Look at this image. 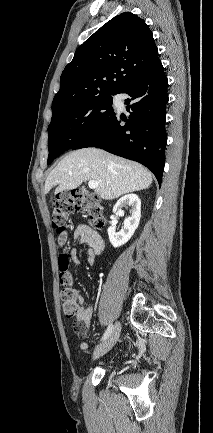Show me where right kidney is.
<instances>
[{
	"label": "right kidney",
	"instance_id": "1",
	"mask_svg": "<svg viewBox=\"0 0 213 433\" xmlns=\"http://www.w3.org/2000/svg\"><path fill=\"white\" fill-rule=\"evenodd\" d=\"M131 206V215L124 220V227L120 232L116 233L115 227L108 228V236L110 243L114 248L120 247L133 236L137 229L141 217V201L136 194H127L121 197L113 207V213L116 216H123V206Z\"/></svg>",
	"mask_w": 213,
	"mask_h": 433
}]
</instances>
